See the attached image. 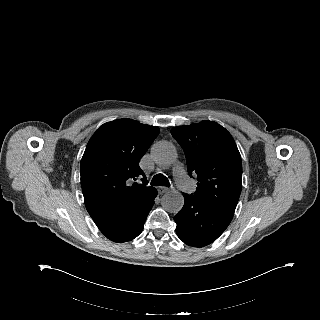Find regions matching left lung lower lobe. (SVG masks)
I'll use <instances>...</instances> for the list:
<instances>
[{"label": "left lung lower lobe", "mask_w": 320, "mask_h": 320, "mask_svg": "<svg viewBox=\"0 0 320 320\" xmlns=\"http://www.w3.org/2000/svg\"><path fill=\"white\" fill-rule=\"evenodd\" d=\"M183 196L184 206L174 217L178 237L193 247L209 245L225 231L233 216L191 194Z\"/></svg>", "instance_id": "left-lung-lower-lobe-1"}]
</instances>
